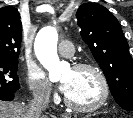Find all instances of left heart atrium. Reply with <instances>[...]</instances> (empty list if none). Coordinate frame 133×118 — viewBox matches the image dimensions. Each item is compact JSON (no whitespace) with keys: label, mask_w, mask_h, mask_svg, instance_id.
Returning <instances> with one entry per match:
<instances>
[{"label":"left heart atrium","mask_w":133,"mask_h":118,"mask_svg":"<svg viewBox=\"0 0 133 118\" xmlns=\"http://www.w3.org/2000/svg\"><path fill=\"white\" fill-rule=\"evenodd\" d=\"M60 90L62 93H64L65 95L67 94L68 90H69V84L68 82H62L60 84Z\"/></svg>","instance_id":"39dd6f15"}]
</instances>
